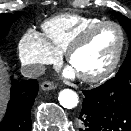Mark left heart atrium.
Wrapping results in <instances>:
<instances>
[{"mask_svg": "<svg viewBox=\"0 0 131 131\" xmlns=\"http://www.w3.org/2000/svg\"><path fill=\"white\" fill-rule=\"evenodd\" d=\"M65 73L67 76H74L76 72L72 67H68Z\"/></svg>", "mask_w": 131, "mask_h": 131, "instance_id": "39dd6f15", "label": "left heart atrium"}]
</instances>
